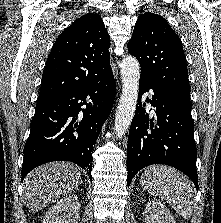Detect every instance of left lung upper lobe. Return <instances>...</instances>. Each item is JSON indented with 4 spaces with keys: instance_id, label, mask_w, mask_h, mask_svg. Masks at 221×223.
Masks as SVG:
<instances>
[{
    "instance_id": "left-lung-upper-lobe-1",
    "label": "left lung upper lobe",
    "mask_w": 221,
    "mask_h": 223,
    "mask_svg": "<svg viewBox=\"0 0 221 223\" xmlns=\"http://www.w3.org/2000/svg\"><path fill=\"white\" fill-rule=\"evenodd\" d=\"M128 50L140 63V79L190 98L182 43L163 17L150 12L140 15Z\"/></svg>"
}]
</instances>
